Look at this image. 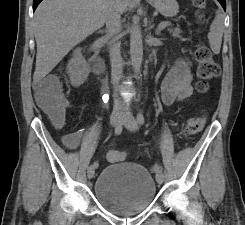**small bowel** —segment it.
Wrapping results in <instances>:
<instances>
[{"mask_svg": "<svg viewBox=\"0 0 245 225\" xmlns=\"http://www.w3.org/2000/svg\"><path fill=\"white\" fill-rule=\"evenodd\" d=\"M48 79H53L52 75L47 76ZM45 79V78H44ZM193 75L191 72L190 62L181 58L177 64L165 76L161 85V98L165 105H171L177 100H184L192 94ZM42 82L38 83L40 86ZM69 139L66 142L69 149L76 150L86 143L89 139H85L83 135L77 131H72L67 134ZM126 154L122 151L113 149L107 154L109 163H117L125 159Z\"/></svg>", "mask_w": 245, "mask_h": 225, "instance_id": "1", "label": "small bowel"}]
</instances>
